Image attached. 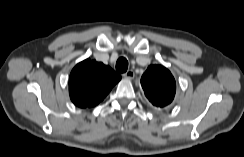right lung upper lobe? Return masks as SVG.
<instances>
[{"label": "right lung upper lobe", "instance_id": "right-lung-upper-lobe-1", "mask_svg": "<svg viewBox=\"0 0 244 157\" xmlns=\"http://www.w3.org/2000/svg\"><path fill=\"white\" fill-rule=\"evenodd\" d=\"M120 79L121 76L109 66L86 59L77 64L70 73V98L81 108L96 106Z\"/></svg>", "mask_w": 244, "mask_h": 157}]
</instances>
